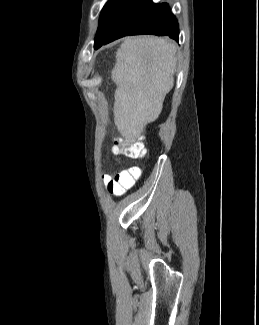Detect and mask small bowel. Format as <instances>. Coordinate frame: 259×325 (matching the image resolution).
Returning a JSON list of instances; mask_svg holds the SVG:
<instances>
[{
    "instance_id": "1",
    "label": "small bowel",
    "mask_w": 259,
    "mask_h": 325,
    "mask_svg": "<svg viewBox=\"0 0 259 325\" xmlns=\"http://www.w3.org/2000/svg\"><path fill=\"white\" fill-rule=\"evenodd\" d=\"M131 169L138 171L139 174L141 173V171H140V169H139L138 167H133V168H131ZM110 179H111V177H110L109 175H104V176H103V180H104V182H106V183H107Z\"/></svg>"
}]
</instances>
